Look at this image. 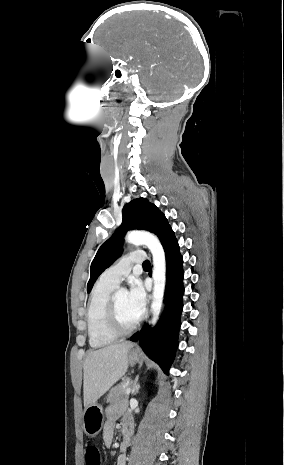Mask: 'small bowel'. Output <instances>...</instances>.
<instances>
[{
    "instance_id": "1",
    "label": "small bowel",
    "mask_w": 284,
    "mask_h": 465,
    "mask_svg": "<svg viewBox=\"0 0 284 465\" xmlns=\"http://www.w3.org/2000/svg\"><path fill=\"white\" fill-rule=\"evenodd\" d=\"M120 418L122 420V441L120 443V455L117 459V465H127V452L130 446V437L133 432V423L131 418L125 414V406L123 404L113 405L107 408L103 441L106 446L112 444L116 422Z\"/></svg>"
}]
</instances>
